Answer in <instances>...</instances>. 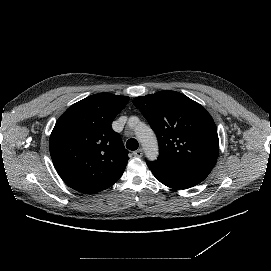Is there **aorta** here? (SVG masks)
Segmentation results:
<instances>
[{"label":"aorta","instance_id":"obj_1","mask_svg":"<svg viewBox=\"0 0 271 271\" xmlns=\"http://www.w3.org/2000/svg\"><path fill=\"white\" fill-rule=\"evenodd\" d=\"M135 134L145 149V155L149 160H155L158 157V142L153 130L146 124L140 122L138 117L131 116L128 120Z\"/></svg>","mask_w":271,"mask_h":271}]
</instances>
